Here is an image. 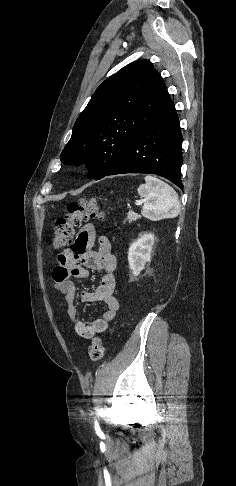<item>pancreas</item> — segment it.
<instances>
[{
  "label": "pancreas",
  "instance_id": "obj_1",
  "mask_svg": "<svg viewBox=\"0 0 236 486\" xmlns=\"http://www.w3.org/2000/svg\"><path fill=\"white\" fill-rule=\"evenodd\" d=\"M139 218H141V216L134 211H129L127 214V220L129 223H131L132 221H136ZM127 220H124V223H126Z\"/></svg>",
  "mask_w": 236,
  "mask_h": 486
}]
</instances>
